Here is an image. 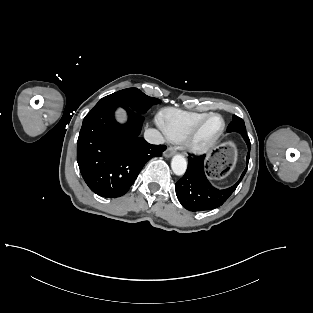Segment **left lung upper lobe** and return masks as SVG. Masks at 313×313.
Returning <instances> with one entry per match:
<instances>
[{"label":"left lung upper lobe","mask_w":313,"mask_h":313,"mask_svg":"<svg viewBox=\"0 0 313 313\" xmlns=\"http://www.w3.org/2000/svg\"><path fill=\"white\" fill-rule=\"evenodd\" d=\"M227 131L228 132H238V133L245 132L246 133V127H245L244 121L240 117L234 115L233 121L229 124Z\"/></svg>","instance_id":"left-lung-upper-lobe-1"}]
</instances>
